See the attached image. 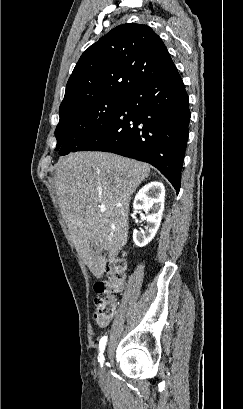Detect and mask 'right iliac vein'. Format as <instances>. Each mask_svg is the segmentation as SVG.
<instances>
[{
  "label": "right iliac vein",
  "mask_w": 243,
  "mask_h": 409,
  "mask_svg": "<svg viewBox=\"0 0 243 409\" xmlns=\"http://www.w3.org/2000/svg\"><path fill=\"white\" fill-rule=\"evenodd\" d=\"M100 375H101L102 379H104V370L103 369L101 370Z\"/></svg>",
  "instance_id": "63e3f726"
}]
</instances>
